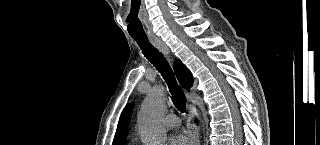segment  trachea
<instances>
[{
    "label": "trachea",
    "mask_w": 320,
    "mask_h": 145,
    "mask_svg": "<svg viewBox=\"0 0 320 145\" xmlns=\"http://www.w3.org/2000/svg\"><path fill=\"white\" fill-rule=\"evenodd\" d=\"M141 48L144 56L153 64V66L160 72L163 79L169 87L172 95V101L175 107L182 113L186 109V97L180 85H178L175 75L164 58L163 54L158 51L148 40L147 37H132Z\"/></svg>",
    "instance_id": "trachea-1"
}]
</instances>
